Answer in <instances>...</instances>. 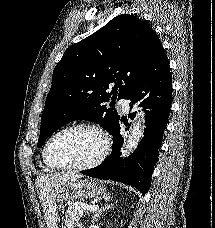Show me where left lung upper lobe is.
Segmentation results:
<instances>
[{
	"label": "left lung upper lobe",
	"instance_id": "obj_1",
	"mask_svg": "<svg viewBox=\"0 0 215 228\" xmlns=\"http://www.w3.org/2000/svg\"><path fill=\"white\" fill-rule=\"evenodd\" d=\"M162 49L147 21L130 14L70 46L53 71L37 145L74 120L99 123L112 134L120 116L105 103L126 99Z\"/></svg>",
	"mask_w": 215,
	"mask_h": 228
}]
</instances>
